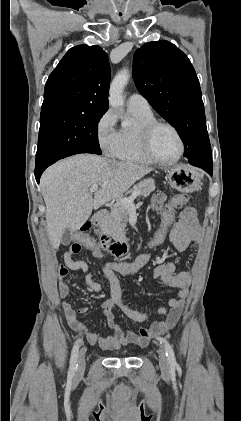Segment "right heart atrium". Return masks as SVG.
I'll return each instance as SVG.
<instances>
[{"mask_svg": "<svg viewBox=\"0 0 241 421\" xmlns=\"http://www.w3.org/2000/svg\"><path fill=\"white\" fill-rule=\"evenodd\" d=\"M118 131L116 119L111 110L105 111L96 124V138L101 151L108 156L114 152Z\"/></svg>", "mask_w": 241, "mask_h": 421, "instance_id": "obj_1", "label": "right heart atrium"}]
</instances>
